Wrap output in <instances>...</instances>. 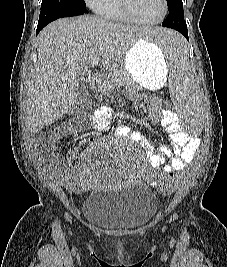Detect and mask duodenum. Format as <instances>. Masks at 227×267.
<instances>
[{
    "instance_id": "1",
    "label": "duodenum",
    "mask_w": 227,
    "mask_h": 267,
    "mask_svg": "<svg viewBox=\"0 0 227 267\" xmlns=\"http://www.w3.org/2000/svg\"><path fill=\"white\" fill-rule=\"evenodd\" d=\"M102 80V76L99 74H94L91 78V82H90V88L91 90H96L98 88L99 83Z\"/></svg>"
}]
</instances>
